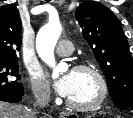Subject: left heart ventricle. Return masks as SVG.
Wrapping results in <instances>:
<instances>
[{"mask_svg": "<svg viewBox=\"0 0 133 118\" xmlns=\"http://www.w3.org/2000/svg\"><path fill=\"white\" fill-rule=\"evenodd\" d=\"M74 87L68 99L76 104H88L98 96L95 76L88 71H73Z\"/></svg>", "mask_w": 133, "mask_h": 118, "instance_id": "1", "label": "left heart ventricle"}]
</instances>
